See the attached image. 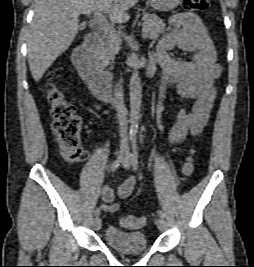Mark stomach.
Segmentation results:
<instances>
[{
    "label": "stomach",
    "instance_id": "1",
    "mask_svg": "<svg viewBox=\"0 0 254 267\" xmlns=\"http://www.w3.org/2000/svg\"><path fill=\"white\" fill-rule=\"evenodd\" d=\"M149 3L158 11H170L176 8L181 0H149Z\"/></svg>",
    "mask_w": 254,
    "mask_h": 267
}]
</instances>
